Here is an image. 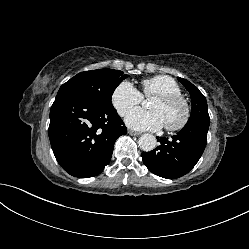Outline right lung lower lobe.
Masks as SVG:
<instances>
[{
    "label": "right lung lower lobe",
    "instance_id": "1",
    "mask_svg": "<svg viewBox=\"0 0 249 249\" xmlns=\"http://www.w3.org/2000/svg\"><path fill=\"white\" fill-rule=\"evenodd\" d=\"M49 139L53 153L70 175L88 178L109 164L116 139L127 128L113 108L73 92H58L50 110Z\"/></svg>",
    "mask_w": 249,
    "mask_h": 249
}]
</instances>
